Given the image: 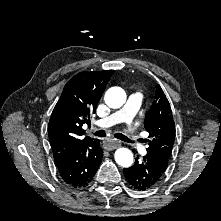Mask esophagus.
I'll use <instances>...</instances> for the list:
<instances>
[{
  "label": "esophagus",
  "instance_id": "esophagus-1",
  "mask_svg": "<svg viewBox=\"0 0 221 221\" xmlns=\"http://www.w3.org/2000/svg\"><path fill=\"white\" fill-rule=\"evenodd\" d=\"M119 146H121V143L117 140H106L103 144V147L107 150H113Z\"/></svg>",
  "mask_w": 221,
  "mask_h": 221
}]
</instances>
